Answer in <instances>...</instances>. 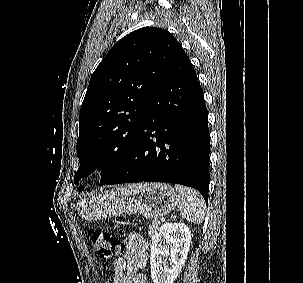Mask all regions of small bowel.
<instances>
[{
  "instance_id": "small-bowel-1",
  "label": "small bowel",
  "mask_w": 303,
  "mask_h": 283,
  "mask_svg": "<svg viewBox=\"0 0 303 283\" xmlns=\"http://www.w3.org/2000/svg\"><path fill=\"white\" fill-rule=\"evenodd\" d=\"M123 250V256L112 262V282L148 283L147 277L139 273L148 260V242L141 234L130 233L124 239Z\"/></svg>"
}]
</instances>
